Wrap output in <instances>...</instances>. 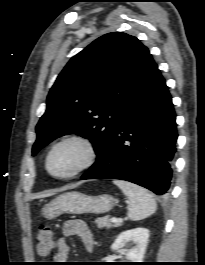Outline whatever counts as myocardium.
I'll return each mask as SVG.
<instances>
[{"instance_id":"myocardium-1","label":"myocardium","mask_w":205,"mask_h":265,"mask_svg":"<svg viewBox=\"0 0 205 265\" xmlns=\"http://www.w3.org/2000/svg\"><path fill=\"white\" fill-rule=\"evenodd\" d=\"M74 142L79 144L84 150V157L81 163L71 172L67 174H56L53 173L49 167V160L54 152V150L62 144ZM98 156V151L95 143L87 136L81 134H70L67 136L62 137L61 139L54 142L45 155L44 159V167L46 172L53 178L60 179V180H69L75 178L76 176L80 175L87 169H89L96 161Z\"/></svg>"}]
</instances>
